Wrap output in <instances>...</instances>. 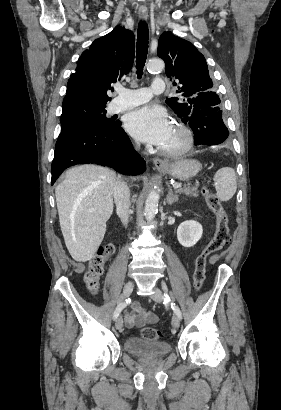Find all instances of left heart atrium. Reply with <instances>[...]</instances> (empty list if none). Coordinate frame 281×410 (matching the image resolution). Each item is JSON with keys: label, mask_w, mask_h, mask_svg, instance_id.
Here are the masks:
<instances>
[{"label": "left heart atrium", "mask_w": 281, "mask_h": 410, "mask_svg": "<svg viewBox=\"0 0 281 410\" xmlns=\"http://www.w3.org/2000/svg\"><path fill=\"white\" fill-rule=\"evenodd\" d=\"M172 127L166 111L156 106L135 110L126 119V129L133 137L160 147L167 141Z\"/></svg>", "instance_id": "obj_1"}]
</instances>
